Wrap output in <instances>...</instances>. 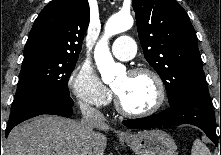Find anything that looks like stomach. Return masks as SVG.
Returning a JSON list of instances; mask_svg holds the SVG:
<instances>
[{
	"mask_svg": "<svg viewBox=\"0 0 221 155\" xmlns=\"http://www.w3.org/2000/svg\"><path fill=\"white\" fill-rule=\"evenodd\" d=\"M122 138L136 155H177L174 140L159 129L144 130Z\"/></svg>",
	"mask_w": 221,
	"mask_h": 155,
	"instance_id": "0dacf381",
	"label": "stomach"
}]
</instances>
